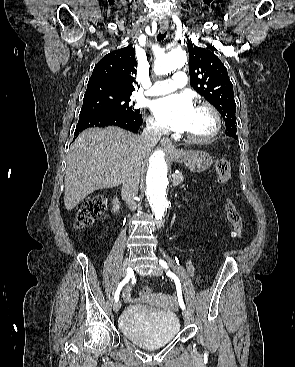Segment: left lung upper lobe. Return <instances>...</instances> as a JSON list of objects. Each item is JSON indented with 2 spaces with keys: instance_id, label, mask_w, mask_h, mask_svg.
<instances>
[{
  "instance_id": "1",
  "label": "left lung upper lobe",
  "mask_w": 295,
  "mask_h": 367,
  "mask_svg": "<svg viewBox=\"0 0 295 367\" xmlns=\"http://www.w3.org/2000/svg\"><path fill=\"white\" fill-rule=\"evenodd\" d=\"M187 45L192 87L219 111L225 121L226 134L237 137L236 103L226 67L213 52L194 46L190 41Z\"/></svg>"
}]
</instances>
